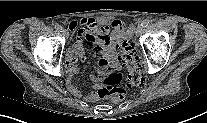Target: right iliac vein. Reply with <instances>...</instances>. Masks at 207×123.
<instances>
[{"label": "right iliac vein", "instance_id": "1", "mask_svg": "<svg viewBox=\"0 0 207 123\" xmlns=\"http://www.w3.org/2000/svg\"><path fill=\"white\" fill-rule=\"evenodd\" d=\"M61 32L65 35V36H68V32L66 29H62Z\"/></svg>", "mask_w": 207, "mask_h": 123}]
</instances>
